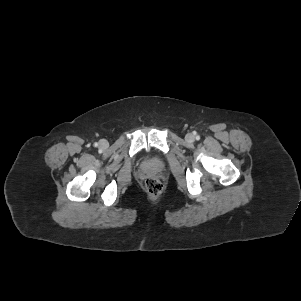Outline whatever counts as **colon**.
I'll return each instance as SVG.
<instances>
[{"instance_id": "5ec220e1", "label": "colon", "mask_w": 301, "mask_h": 301, "mask_svg": "<svg viewBox=\"0 0 301 301\" xmlns=\"http://www.w3.org/2000/svg\"><path fill=\"white\" fill-rule=\"evenodd\" d=\"M145 189L151 195H159L163 190L162 183L156 178H148L145 181Z\"/></svg>"}]
</instances>
